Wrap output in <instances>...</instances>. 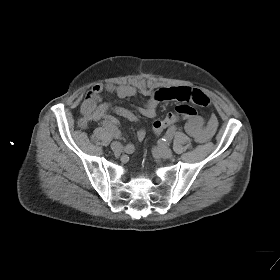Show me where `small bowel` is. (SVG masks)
<instances>
[{
  "label": "small bowel",
  "mask_w": 280,
  "mask_h": 280,
  "mask_svg": "<svg viewBox=\"0 0 280 280\" xmlns=\"http://www.w3.org/2000/svg\"><path fill=\"white\" fill-rule=\"evenodd\" d=\"M103 92L114 93L120 99L132 98L137 94L136 88L131 85H117L113 83L96 84L87 93L81 105L82 123L84 125L90 121L104 119V121H109L116 126L118 122L113 114L134 122L139 120L138 116L130 110L113 103L103 102ZM169 100L182 103L191 102L202 107L210 103L209 97L200 90L189 87H167L153 91L146 103L138 108V112L146 118H154L156 116L157 106ZM217 127L218 120L215 115H211L207 120L199 115H194L186 119L185 123L186 132L199 143L210 140L215 134ZM136 135L139 140H143L146 135V130L140 128Z\"/></svg>",
  "instance_id": "obj_1"
}]
</instances>
